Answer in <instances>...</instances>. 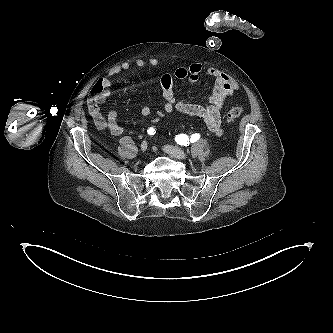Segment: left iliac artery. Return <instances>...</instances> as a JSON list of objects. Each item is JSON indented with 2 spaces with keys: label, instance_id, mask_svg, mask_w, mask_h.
<instances>
[{
  "label": "left iliac artery",
  "instance_id": "1",
  "mask_svg": "<svg viewBox=\"0 0 333 333\" xmlns=\"http://www.w3.org/2000/svg\"><path fill=\"white\" fill-rule=\"evenodd\" d=\"M199 138L200 134L197 133L191 135L190 137H188L186 134H179L176 135L175 140L179 145L187 146L190 142L191 143L196 142Z\"/></svg>",
  "mask_w": 333,
  "mask_h": 333
}]
</instances>
